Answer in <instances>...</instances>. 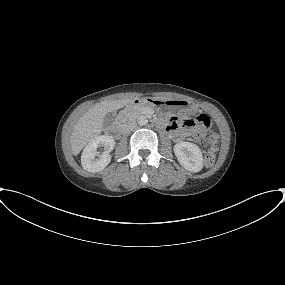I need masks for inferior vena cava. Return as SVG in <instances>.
<instances>
[{
	"label": "inferior vena cava",
	"mask_w": 285,
	"mask_h": 285,
	"mask_svg": "<svg viewBox=\"0 0 285 285\" xmlns=\"http://www.w3.org/2000/svg\"><path fill=\"white\" fill-rule=\"evenodd\" d=\"M136 126H137V123L134 121L127 122V123L123 124V126H122V133L127 134L130 131L134 130L136 128Z\"/></svg>",
	"instance_id": "602c4592"
}]
</instances>
